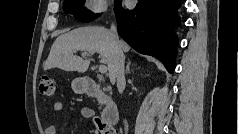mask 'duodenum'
I'll use <instances>...</instances> for the list:
<instances>
[{"label": "duodenum", "instance_id": "1", "mask_svg": "<svg viewBox=\"0 0 239 134\" xmlns=\"http://www.w3.org/2000/svg\"><path fill=\"white\" fill-rule=\"evenodd\" d=\"M84 86L86 93L92 97H102V92L97 81L88 76L84 79ZM102 119L107 125H115L119 120V111L117 106L111 102L106 101L102 112Z\"/></svg>", "mask_w": 239, "mask_h": 134}]
</instances>
